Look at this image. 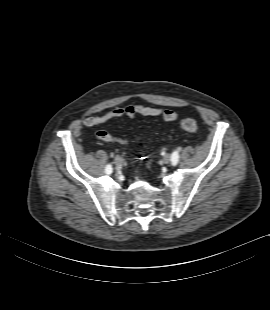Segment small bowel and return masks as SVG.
<instances>
[{
  "label": "small bowel",
  "instance_id": "obj_1",
  "mask_svg": "<svg viewBox=\"0 0 270 310\" xmlns=\"http://www.w3.org/2000/svg\"><path fill=\"white\" fill-rule=\"evenodd\" d=\"M136 116L143 117H160L164 122H172L177 119V113L170 109L159 107L145 106L143 104H130L124 107L113 108L101 116H90L83 120L86 127H98L106 124L116 118H135ZM96 138L104 142H117L122 145H127L130 141L126 138L117 137L107 131L100 130L96 133Z\"/></svg>",
  "mask_w": 270,
  "mask_h": 310
}]
</instances>
